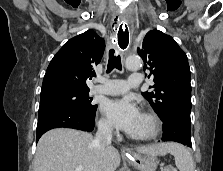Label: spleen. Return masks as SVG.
I'll list each match as a JSON object with an SVG mask.
<instances>
[{"mask_svg": "<svg viewBox=\"0 0 223 171\" xmlns=\"http://www.w3.org/2000/svg\"><path fill=\"white\" fill-rule=\"evenodd\" d=\"M171 153L175 158V164L179 171H194V161L191 153L180 144H172Z\"/></svg>", "mask_w": 223, "mask_h": 171, "instance_id": "spleen-1", "label": "spleen"}]
</instances>
